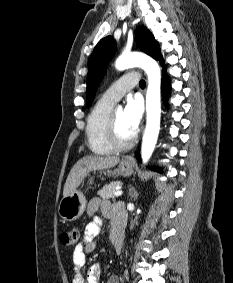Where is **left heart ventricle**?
I'll list each match as a JSON object with an SVG mask.
<instances>
[{
  "label": "left heart ventricle",
  "mask_w": 233,
  "mask_h": 283,
  "mask_svg": "<svg viewBox=\"0 0 233 283\" xmlns=\"http://www.w3.org/2000/svg\"><path fill=\"white\" fill-rule=\"evenodd\" d=\"M116 131L119 141L125 142L133 136V131L128 127L123 110L115 111Z\"/></svg>",
  "instance_id": "left-heart-ventricle-1"
}]
</instances>
